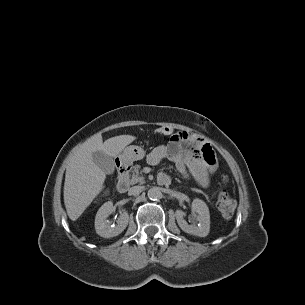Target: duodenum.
<instances>
[{
  "label": "duodenum",
  "mask_w": 305,
  "mask_h": 305,
  "mask_svg": "<svg viewBox=\"0 0 305 305\" xmlns=\"http://www.w3.org/2000/svg\"><path fill=\"white\" fill-rule=\"evenodd\" d=\"M118 169V182H117V189L120 193H125L130 186L129 182V166L123 162H119L117 165ZM158 183L160 185L166 186L171 183L170 178L167 175L161 174L158 177Z\"/></svg>",
  "instance_id": "obj_1"
}]
</instances>
